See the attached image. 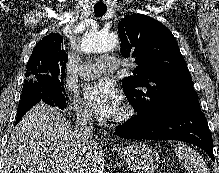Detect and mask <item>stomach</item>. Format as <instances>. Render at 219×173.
Returning <instances> with one entry per match:
<instances>
[{
  "label": "stomach",
  "instance_id": "obj_1",
  "mask_svg": "<svg viewBox=\"0 0 219 173\" xmlns=\"http://www.w3.org/2000/svg\"><path fill=\"white\" fill-rule=\"evenodd\" d=\"M119 151L124 164L134 173H154L159 166L158 151L144 142L130 143Z\"/></svg>",
  "mask_w": 219,
  "mask_h": 173
}]
</instances>
